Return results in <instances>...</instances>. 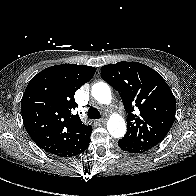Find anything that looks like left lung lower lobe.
<instances>
[{
  "label": "left lung lower lobe",
  "instance_id": "1",
  "mask_svg": "<svg viewBox=\"0 0 196 196\" xmlns=\"http://www.w3.org/2000/svg\"><path fill=\"white\" fill-rule=\"evenodd\" d=\"M118 145L123 151L129 152V153H143L148 150L147 148L137 146V145L127 141L124 138H122L118 141Z\"/></svg>",
  "mask_w": 196,
  "mask_h": 196
}]
</instances>
